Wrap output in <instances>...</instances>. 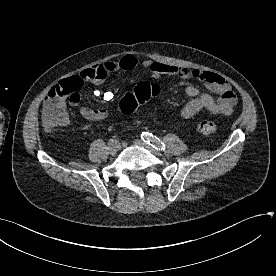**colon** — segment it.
I'll list each match as a JSON object with an SVG mask.
<instances>
[{"label":"colon","mask_w":276,"mask_h":276,"mask_svg":"<svg viewBox=\"0 0 276 276\" xmlns=\"http://www.w3.org/2000/svg\"><path fill=\"white\" fill-rule=\"evenodd\" d=\"M83 82L79 78L65 79L51 88L48 93L50 99L49 106L43 109V124L47 130H53L63 127L67 124L68 117L63 107L65 99L77 98L78 91ZM160 87L155 82H139L134 91L127 93L119 101L117 109L120 113L128 115L133 113L140 105L147 103L158 96ZM196 130L200 134L210 135L218 130V124L215 120L204 119L196 124Z\"/></svg>","instance_id":"1"}]
</instances>
